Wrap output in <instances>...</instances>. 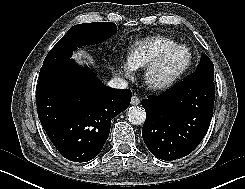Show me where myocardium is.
<instances>
[{
  "label": "myocardium",
  "mask_w": 245,
  "mask_h": 189,
  "mask_svg": "<svg viewBox=\"0 0 245 189\" xmlns=\"http://www.w3.org/2000/svg\"><path fill=\"white\" fill-rule=\"evenodd\" d=\"M183 49L187 52L188 58L186 63L174 74L170 77L163 79V80H155L153 78V74L157 71L166 58L174 51ZM193 62V54L191 50L183 44H175L170 47L164 49L153 61L147 64L145 71H144V81L146 85L152 90H164L171 86H173L176 82H178L190 69Z\"/></svg>",
  "instance_id": "1"
}]
</instances>
